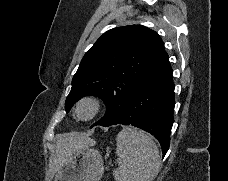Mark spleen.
<instances>
[{
  "label": "spleen",
  "mask_w": 228,
  "mask_h": 181,
  "mask_svg": "<svg viewBox=\"0 0 228 181\" xmlns=\"http://www.w3.org/2000/svg\"><path fill=\"white\" fill-rule=\"evenodd\" d=\"M119 167L113 171L115 181H153L160 169L156 143L144 131L123 127L116 137Z\"/></svg>",
  "instance_id": "spleen-1"
}]
</instances>
